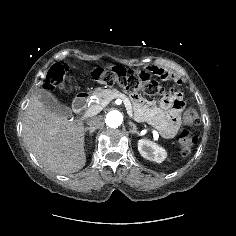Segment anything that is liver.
<instances>
[{
  "label": "liver",
  "mask_w": 236,
  "mask_h": 236,
  "mask_svg": "<svg viewBox=\"0 0 236 236\" xmlns=\"http://www.w3.org/2000/svg\"><path fill=\"white\" fill-rule=\"evenodd\" d=\"M26 147L48 170L70 174L85 166L84 124L47 110L38 95H32L23 117Z\"/></svg>",
  "instance_id": "liver-1"
}]
</instances>
